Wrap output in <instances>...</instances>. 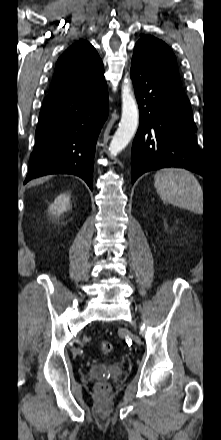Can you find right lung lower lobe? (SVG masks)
Instances as JSON below:
<instances>
[{
    "mask_svg": "<svg viewBox=\"0 0 221 440\" xmlns=\"http://www.w3.org/2000/svg\"><path fill=\"white\" fill-rule=\"evenodd\" d=\"M107 116L106 82L90 89L48 94L24 183L66 173L81 177L92 190L96 141Z\"/></svg>",
    "mask_w": 221,
    "mask_h": 440,
    "instance_id": "1",
    "label": "right lung lower lobe"
}]
</instances>
